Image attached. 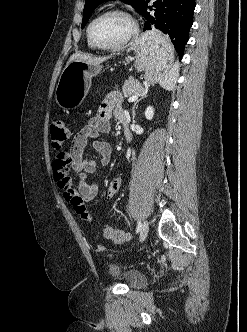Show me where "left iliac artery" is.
Returning a JSON list of instances; mask_svg holds the SVG:
<instances>
[{"instance_id":"obj_1","label":"left iliac artery","mask_w":247,"mask_h":332,"mask_svg":"<svg viewBox=\"0 0 247 332\" xmlns=\"http://www.w3.org/2000/svg\"><path fill=\"white\" fill-rule=\"evenodd\" d=\"M142 224L141 222L138 220L137 222V228H136V233H138L141 230Z\"/></svg>"}]
</instances>
